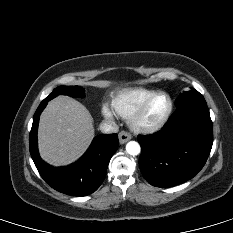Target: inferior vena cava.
Wrapping results in <instances>:
<instances>
[{
    "mask_svg": "<svg viewBox=\"0 0 233 233\" xmlns=\"http://www.w3.org/2000/svg\"><path fill=\"white\" fill-rule=\"evenodd\" d=\"M99 128L103 133H117L119 130L118 125L114 121H103Z\"/></svg>",
    "mask_w": 233,
    "mask_h": 233,
    "instance_id": "obj_1",
    "label": "inferior vena cava"
}]
</instances>
